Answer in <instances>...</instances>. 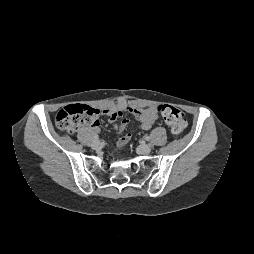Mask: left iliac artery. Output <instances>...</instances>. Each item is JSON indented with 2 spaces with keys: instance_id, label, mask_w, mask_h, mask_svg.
<instances>
[{
  "instance_id": "left-iliac-artery-1",
  "label": "left iliac artery",
  "mask_w": 254,
  "mask_h": 254,
  "mask_svg": "<svg viewBox=\"0 0 254 254\" xmlns=\"http://www.w3.org/2000/svg\"><path fill=\"white\" fill-rule=\"evenodd\" d=\"M145 140L149 141L150 137L149 136H145Z\"/></svg>"
}]
</instances>
